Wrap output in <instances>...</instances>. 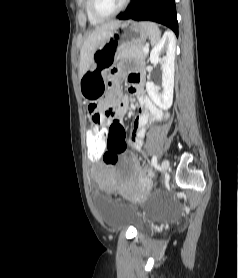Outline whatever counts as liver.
<instances>
[{
    "label": "liver",
    "mask_w": 238,
    "mask_h": 278,
    "mask_svg": "<svg viewBox=\"0 0 238 278\" xmlns=\"http://www.w3.org/2000/svg\"><path fill=\"white\" fill-rule=\"evenodd\" d=\"M120 23V21H110L97 26L96 29L85 39L80 51V78L91 67L96 49L101 47L108 40L110 32Z\"/></svg>",
    "instance_id": "liver-1"
}]
</instances>
